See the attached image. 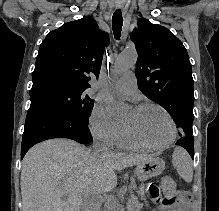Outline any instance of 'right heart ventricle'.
Here are the masks:
<instances>
[{"label": "right heart ventricle", "instance_id": "right-heart-ventricle-1", "mask_svg": "<svg viewBox=\"0 0 219 211\" xmlns=\"http://www.w3.org/2000/svg\"><path fill=\"white\" fill-rule=\"evenodd\" d=\"M118 146L124 148V149H130V150H138L139 147L136 146L134 143H132L128 137L126 136L124 129H122L120 137L117 142Z\"/></svg>", "mask_w": 219, "mask_h": 211}]
</instances>
